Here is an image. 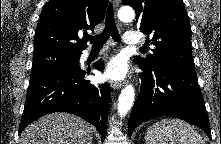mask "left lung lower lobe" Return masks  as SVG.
<instances>
[{
    "label": "left lung lower lobe",
    "mask_w": 221,
    "mask_h": 144,
    "mask_svg": "<svg viewBox=\"0 0 221 144\" xmlns=\"http://www.w3.org/2000/svg\"><path fill=\"white\" fill-rule=\"evenodd\" d=\"M139 95L132 108L128 132L143 122L160 116H171L198 126L211 139L205 102L197 83L196 72L174 66L147 67Z\"/></svg>",
    "instance_id": "left-lung-lower-lobe-1"
}]
</instances>
